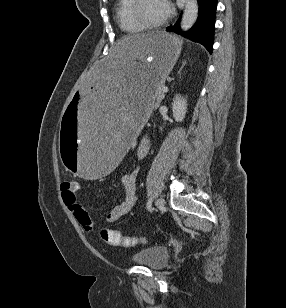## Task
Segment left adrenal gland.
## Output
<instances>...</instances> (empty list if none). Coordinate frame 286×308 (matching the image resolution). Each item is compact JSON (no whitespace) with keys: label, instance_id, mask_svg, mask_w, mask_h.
<instances>
[{"label":"left adrenal gland","instance_id":"obj_1","mask_svg":"<svg viewBox=\"0 0 286 308\" xmlns=\"http://www.w3.org/2000/svg\"><path fill=\"white\" fill-rule=\"evenodd\" d=\"M185 63H186V62H183L181 69L184 67ZM181 69H180V70H181Z\"/></svg>","mask_w":286,"mask_h":308}]
</instances>
